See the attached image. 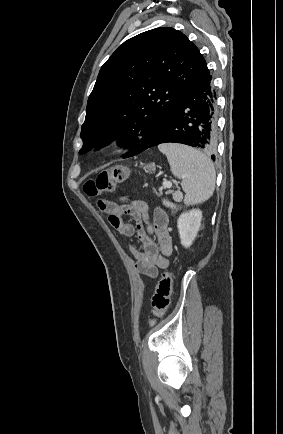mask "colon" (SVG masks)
<instances>
[{"mask_svg":"<svg viewBox=\"0 0 283 434\" xmlns=\"http://www.w3.org/2000/svg\"><path fill=\"white\" fill-rule=\"evenodd\" d=\"M129 170L126 167H113L101 171L94 178L84 183L83 190L88 196H96L100 193L111 190L117 183H121L128 178ZM172 290V272L165 270L160 277L155 292L151 299L154 318L150 324H154L156 319L161 318L170 305Z\"/></svg>","mask_w":283,"mask_h":434,"instance_id":"5ec220e1","label":"colon"}]
</instances>
